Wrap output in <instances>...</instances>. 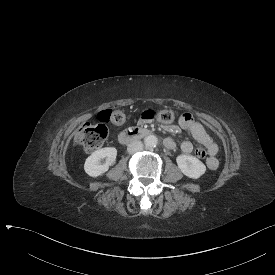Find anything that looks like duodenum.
<instances>
[{"instance_id":"1","label":"duodenum","mask_w":275,"mask_h":275,"mask_svg":"<svg viewBox=\"0 0 275 275\" xmlns=\"http://www.w3.org/2000/svg\"><path fill=\"white\" fill-rule=\"evenodd\" d=\"M151 133L152 132L149 129L142 127L130 128L121 132L118 140L121 144H129L145 136H148Z\"/></svg>"}]
</instances>
